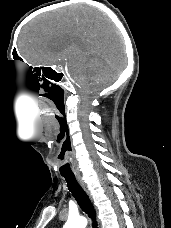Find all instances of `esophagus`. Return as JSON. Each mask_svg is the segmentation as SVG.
Instances as JSON below:
<instances>
[{
    "instance_id": "1",
    "label": "esophagus",
    "mask_w": 171,
    "mask_h": 228,
    "mask_svg": "<svg viewBox=\"0 0 171 228\" xmlns=\"http://www.w3.org/2000/svg\"><path fill=\"white\" fill-rule=\"evenodd\" d=\"M77 180L80 184V186L83 188V190L86 192V194L89 196V198L92 200V196L90 194V191L88 189L87 184L83 181V179L80 176H77Z\"/></svg>"
}]
</instances>
